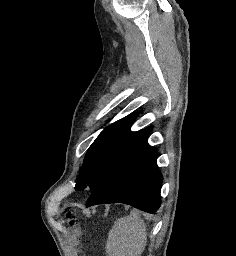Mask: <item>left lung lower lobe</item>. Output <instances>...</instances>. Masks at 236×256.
Segmentation results:
<instances>
[{"label": "left lung lower lobe", "mask_w": 236, "mask_h": 256, "mask_svg": "<svg viewBox=\"0 0 236 256\" xmlns=\"http://www.w3.org/2000/svg\"><path fill=\"white\" fill-rule=\"evenodd\" d=\"M150 130L133 137L111 172L92 191L87 207L119 202L149 213L159 209L163 177L156 163L157 150L147 143Z\"/></svg>", "instance_id": "obj_1"}]
</instances>
